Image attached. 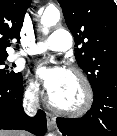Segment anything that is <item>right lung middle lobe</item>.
I'll return each instance as SVG.
<instances>
[{
	"instance_id": "obj_1",
	"label": "right lung middle lobe",
	"mask_w": 117,
	"mask_h": 136,
	"mask_svg": "<svg viewBox=\"0 0 117 136\" xmlns=\"http://www.w3.org/2000/svg\"><path fill=\"white\" fill-rule=\"evenodd\" d=\"M7 57L0 58V83H9L16 81L22 77V74L15 73L13 71L7 70L8 66H4V61Z\"/></svg>"
}]
</instances>
